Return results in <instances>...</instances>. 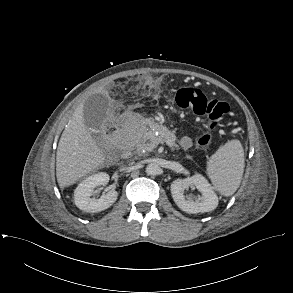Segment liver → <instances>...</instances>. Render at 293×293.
<instances>
[{
    "label": "liver",
    "mask_w": 293,
    "mask_h": 293,
    "mask_svg": "<svg viewBox=\"0 0 293 293\" xmlns=\"http://www.w3.org/2000/svg\"><path fill=\"white\" fill-rule=\"evenodd\" d=\"M101 93H105L101 91ZM105 157L87 130L80 106L65 127L56 154V177L59 186L76 183L104 163Z\"/></svg>",
    "instance_id": "liver-1"
}]
</instances>
